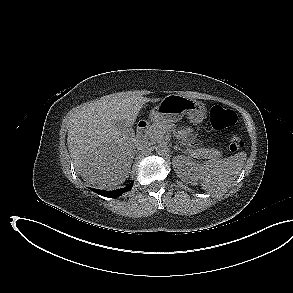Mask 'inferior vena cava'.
Here are the masks:
<instances>
[{"label":"inferior vena cava","mask_w":293,"mask_h":293,"mask_svg":"<svg viewBox=\"0 0 293 293\" xmlns=\"http://www.w3.org/2000/svg\"><path fill=\"white\" fill-rule=\"evenodd\" d=\"M148 147V142L146 140H136L134 144L135 153L145 150Z\"/></svg>","instance_id":"inferior-vena-cava-1"}]
</instances>
